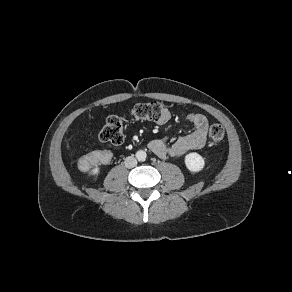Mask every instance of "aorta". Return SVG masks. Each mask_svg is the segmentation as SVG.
<instances>
[{"label":"aorta","mask_w":292,"mask_h":292,"mask_svg":"<svg viewBox=\"0 0 292 292\" xmlns=\"http://www.w3.org/2000/svg\"><path fill=\"white\" fill-rule=\"evenodd\" d=\"M147 157V154L145 151L143 150H139L136 152V158L139 160V161H144Z\"/></svg>","instance_id":"762f6f07"}]
</instances>
